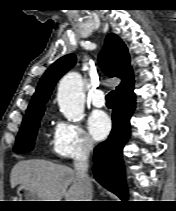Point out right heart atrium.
Wrapping results in <instances>:
<instances>
[{
    "mask_svg": "<svg viewBox=\"0 0 176 211\" xmlns=\"http://www.w3.org/2000/svg\"><path fill=\"white\" fill-rule=\"evenodd\" d=\"M94 143L88 133L76 122L59 119L54 127L51 150L61 159H75L88 155Z\"/></svg>",
    "mask_w": 176,
    "mask_h": 211,
    "instance_id": "1",
    "label": "right heart atrium"
}]
</instances>
